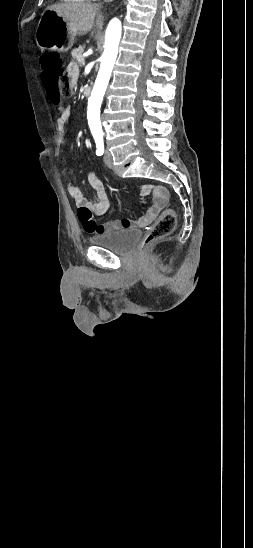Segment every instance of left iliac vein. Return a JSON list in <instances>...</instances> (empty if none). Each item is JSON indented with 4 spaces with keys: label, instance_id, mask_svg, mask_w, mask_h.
<instances>
[{
    "label": "left iliac vein",
    "instance_id": "1",
    "mask_svg": "<svg viewBox=\"0 0 253 548\" xmlns=\"http://www.w3.org/2000/svg\"><path fill=\"white\" fill-rule=\"evenodd\" d=\"M104 163L111 168L113 166V160H112V154L111 152L106 149L105 155H104Z\"/></svg>",
    "mask_w": 253,
    "mask_h": 548
}]
</instances>
